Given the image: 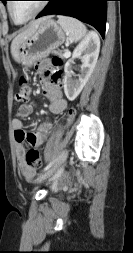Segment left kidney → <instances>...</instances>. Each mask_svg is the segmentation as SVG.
<instances>
[{"instance_id": "5707ae66", "label": "left kidney", "mask_w": 133, "mask_h": 253, "mask_svg": "<svg viewBox=\"0 0 133 253\" xmlns=\"http://www.w3.org/2000/svg\"><path fill=\"white\" fill-rule=\"evenodd\" d=\"M100 51V39L95 32H91L87 37L75 48L72 58L65 64L64 92L66 97L73 101L80 94L83 87L89 80ZM81 61L80 73L78 79H72L74 60Z\"/></svg>"}]
</instances>
